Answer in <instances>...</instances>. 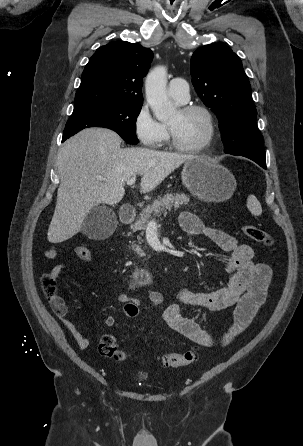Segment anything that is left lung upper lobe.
Instances as JSON below:
<instances>
[{"instance_id": "1", "label": "left lung upper lobe", "mask_w": 303, "mask_h": 446, "mask_svg": "<svg viewBox=\"0 0 303 446\" xmlns=\"http://www.w3.org/2000/svg\"><path fill=\"white\" fill-rule=\"evenodd\" d=\"M192 83L219 120L224 152L265 160L257 110L240 58L225 44L206 45L191 58Z\"/></svg>"}]
</instances>
